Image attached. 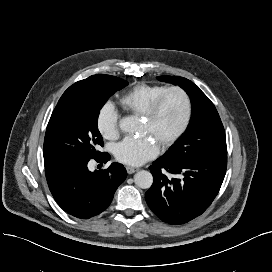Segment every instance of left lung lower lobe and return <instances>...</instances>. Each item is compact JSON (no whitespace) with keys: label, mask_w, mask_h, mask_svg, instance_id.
I'll return each instance as SVG.
<instances>
[{"label":"left lung lower lobe","mask_w":272,"mask_h":272,"mask_svg":"<svg viewBox=\"0 0 272 272\" xmlns=\"http://www.w3.org/2000/svg\"><path fill=\"white\" fill-rule=\"evenodd\" d=\"M226 167L227 156L161 157L149 167L154 180L145 194L146 202L162 221L187 223L210 206L220 190ZM165 170L174 177L168 178Z\"/></svg>","instance_id":"0a47b994"}]
</instances>
